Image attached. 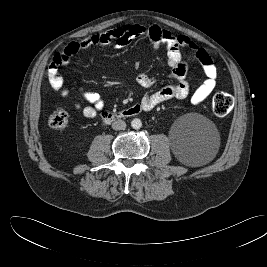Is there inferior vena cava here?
Segmentation results:
<instances>
[{
	"label": "inferior vena cava",
	"instance_id": "obj_1",
	"mask_svg": "<svg viewBox=\"0 0 267 267\" xmlns=\"http://www.w3.org/2000/svg\"><path fill=\"white\" fill-rule=\"evenodd\" d=\"M112 128L114 130H124L126 128V123L123 120H116L112 123Z\"/></svg>",
	"mask_w": 267,
	"mask_h": 267
}]
</instances>
